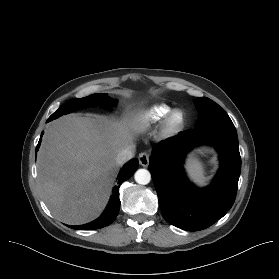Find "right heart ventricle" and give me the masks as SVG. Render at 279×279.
<instances>
[{
    "label": "right heart ventricle",
    "instance_id": "right-heart-ventricle-1",
    "mask_svg": "<svg viewBox=\"0 0 279 279\" xmlns=\"http://www.w3.org/2000/svg\"><path fill=\"white\" fill-rule=\"evenodd\" d=\"M171 111L170 106L165 104L154 105L141 117L142 123L149 125L161 121Z\"/></svg>",
    "mask_w": 279,
    "mask_h": 279
}]
</instances>
